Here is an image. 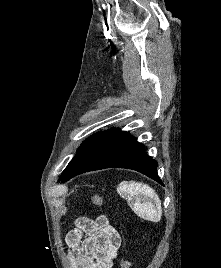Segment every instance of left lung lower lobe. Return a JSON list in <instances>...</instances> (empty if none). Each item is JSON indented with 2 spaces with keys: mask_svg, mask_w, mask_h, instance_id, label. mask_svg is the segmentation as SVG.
<instances>
[{
  "mask_svg": "<svg viewBox=\"0 0 221 268\" xmlns=\"http://www.w3.org/2000/svg\"><path fill=\"white\" fill-rule=\"evenodd\" d=\"M157 165L145 153L144 144L127 132L112 129L98 134L63 171L60 180L65 182L88 171L118 167L139 171L162 184L157 175Z\"/></svg>",
  "mask_w": 221,
  "mask_h": 268,
  "instance_id": "1",
  "label": "left lung lower lobe"
}]
</instances>
